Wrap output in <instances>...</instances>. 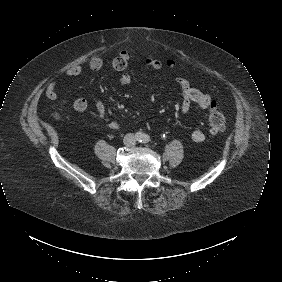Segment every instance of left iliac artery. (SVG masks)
I'll use <instances>...</instances> for the list:
<instances>
[{
  "mask_svg": "<svg viewBox=\"0 0 282 282\" xmlns=\"http://www.w3.org/2000/svg\"><path fill=\"white\" fill-rule=\"evenodd\" d=\"M149 141H150V137L148 135H145L144 138H143V142L147 143Z\"/></svg>",
  "mask_w": 282,
  "mask_h": 282,
  "instance_id": "left-iliac-artery-1",
  "label": "left iliac artery"
}]
</instances>
